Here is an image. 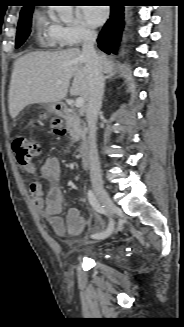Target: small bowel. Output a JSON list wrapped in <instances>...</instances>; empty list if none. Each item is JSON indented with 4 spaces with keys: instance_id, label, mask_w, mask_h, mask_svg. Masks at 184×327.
I'll return each mask as SVG.
<instances>
[{
    "instance_id": "c3829d8e",
    "label": "small bowel",
    "mask_w": 184,
    "mask_h": 327,
    "mask_svg": "<svg viewBox=\"0 0 184 327\" xmlns=\"http://www.w3.org/2000/svg\"><path fill=\"white\" fill-rule=\"evenodd\" d=\"M25 171L30 175L37 173L34 163L24 166ZM40 175L44 180L52 183L47 194H44L42 184L34 180L29 185L34 206L39 209L42 216L46 218L55 233L59 235L68 234L78 236L86 226V220L81 216L77 208H70L63 218L61 213L64 209L65 198L58 183L61 178L60 162L55 157L47 158L40 169Z\"/></svg>"
}]
</instances>
